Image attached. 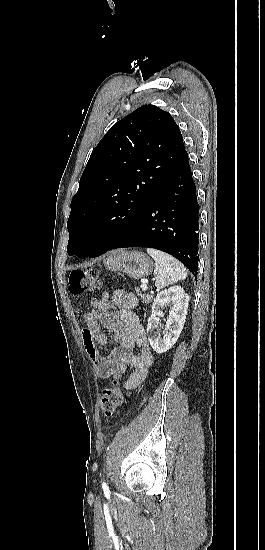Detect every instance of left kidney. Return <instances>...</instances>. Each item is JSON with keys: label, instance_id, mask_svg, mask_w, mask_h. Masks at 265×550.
I'll return each instance as SVG.
<instances>
[{"label": "left kidney", "instance_id": "1", "mask_svg": "<svg viewBox=\"0 0 265 550\" xmlns=\"http://www.w3.org/2000/svg\"><path fill=\"white\" fill-rule=\"evenodd\" d=\"M189 296L180 286H172L157 294L153 305L151 316L148 319L147 335L152 349L158 353L169 350L178 340L184 327ZM170 308L166 321L167 329L160 333V319L164 316L163 309Z\"/></svg>", "mask_w": 265, "mask_h": 550}]
</instances>
